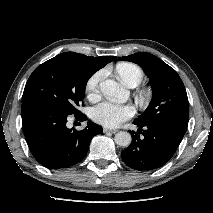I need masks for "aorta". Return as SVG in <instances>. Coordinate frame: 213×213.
Returning a JSON list of instances; mask_svg holds the SVG:
<instances>
[{
	"label": "aorta",
	"mask_w": 213,
	"mask_h": 213,
	"mask_svg": "<svg viewBox=\"0 0 213 213\" xmlns=\"http://www.w3.org/2000/svg\"><path fill=\"white\" fill-rule=\"evenodd\" d=\"M99 86L103 95L110 100L122 101L127 96L126 90L114 80H104ZM114 140L118 146L128 147L131 144L132 138L130 133L120 131L115 135Z\"/></svg>",
	"instance_id": "obj_1"
}]
</instances>
